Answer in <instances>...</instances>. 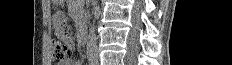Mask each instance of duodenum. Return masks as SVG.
Instances as JSON below:
<instances>
[{"label": "duodenum", "mask_w": 232, "mask_h": 65, "mask_svg": "<svg viewBox=\"0 0 232 65\" xmlns=\"http://www.w3.org/2000/svg\"><path fill=\"white\" fill-rule=\"evenodd\" d=\"M80 41L82 45H85L87 43V30L85 28H82L81 30Z\"/></svg>", "instance_id": "obj_1"}]
</instances>
